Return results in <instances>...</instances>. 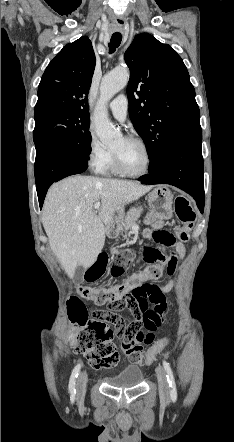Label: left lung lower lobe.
Segmentation results:
<instances>
[{"label":"left lung lower lobe","mask_w":234,"mask_h":442,"mask_svg":"<svg viewBox=\"0 0 234 442\" xmlns=\"http://www.w3.org/2000/svg\"><path fill=\"white\" fill-rule=\"evenodd\" d=\"M201 126L189 128L172 139L157 166L138 180L143 184H170L189 193L200 211L204 208Z\"/></svg>","instance_id":"obj_1"}]
</instances>
